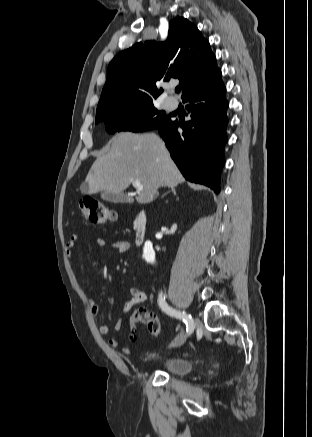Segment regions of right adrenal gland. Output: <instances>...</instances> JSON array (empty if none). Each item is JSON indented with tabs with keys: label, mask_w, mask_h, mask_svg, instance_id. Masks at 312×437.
I'll return each mask as SVG.
<instances>
[{
	"label": "right adrenal gland",
	"mask_w": 312,
	"mask_h": 437,
	"mask_svg": "<svg viewBox=\"0 0 312 437\" xmlns=\"http://www.w3.org/2000/svg\"><path fill=\"white\" fill-rule=\"evenodd\" d=\"M170 191H172L173 194L176 195V189H175V186L170 187ZM170 191H168V192H170ZM168 192H167V193H168ZM167 193H165L163 196H165Z\"/></svg>",
	"instance_id": "1"
}]
</instances>
